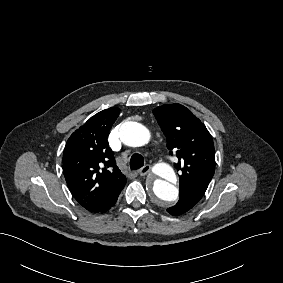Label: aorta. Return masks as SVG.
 Segmentation results:
<instances>
[{
  "label": "aorta",
  "mask_w": 283,
  "mask_h": 283,
  "mask_svg": "<svg viewBox=\"0 0 283 283\" xmlns=\"http://www.w3.org/2000/svg\"><path fill=\"white\" fill-rule=\"evenodd\" d=\"M119 136L121 141L130 147H140L149 142L150 132L140 123L125 122L121 125ZM158 176L152 184V191L161 204H169L178 199L179 190L172 183L176 181V175L172 167L166 163H160L154 168Z\"/></svg>",
  "instance_id": "obj_1"
}]
</instances>
